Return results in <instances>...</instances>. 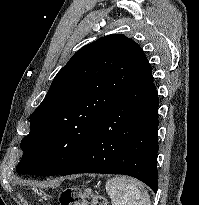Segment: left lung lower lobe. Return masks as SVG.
<instances>
[{"mask_svg": "<svg viewBox=\"0 0 199 205\" xmlns=\"http://www.w3.org/2000/svg\"><path fill=\"white\" fill-rule=\"evenodd\" d=\"M159 99L143 53L128 91L107 112L79 156L58 175L125 174L157 192Z\"/></svg>", "mask_w": 199, "mask_h": 205, "instance_id": "1", "label": "left lung lower lobe"}]
</instances>
